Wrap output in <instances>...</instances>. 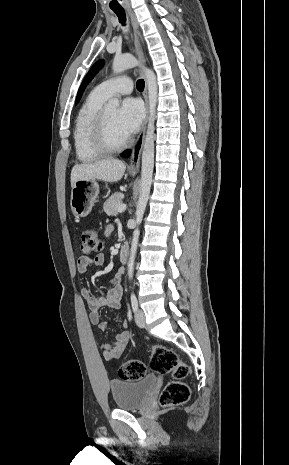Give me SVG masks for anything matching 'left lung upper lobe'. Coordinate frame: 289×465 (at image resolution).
Listing matches in <instances>:
<instances>
[{"label": "left lung upper lobe", "instance_id": "obj_1", "mask_svg": "<svg viewBox=\"0 0 289 465\" xmlns=\"http://www.w3.org/2000/svg\"><path fill=\"white\" fill-rule=\"evenodd\" d=\"M104 62L103 60H99L98 62H96L92 68L90 69V71L87 73V75L85 76L79 90H78V93H77V98H76V102L79 101L81 95H82V92L83 90L85 89L86 85L91 81V79L93 78V76L98 72V70L103 66Z\"/></svg>", "mask_w": 289, "mask_h": 465}]
</instances>
